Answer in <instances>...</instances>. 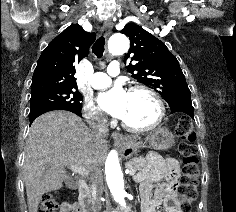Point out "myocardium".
<instances>
[{
	"label": "myocardium",
	"instance_id": "f54148a6",
	"mask_svg": "<svg viewBox=\"0 0 236 212\" xmlns=\"http://www.w3.org/2000/svg\"><path fill=\"white\" fill-rule=\"evenodd\" d=\"M137 91L146 93L155 101L158 109L157 116L152 123L144 127H133L126 123L124 120H121V125L125 130L131 133H146L159 126L165 116L166 108L160 95L152 88L143 84H135L129 88V93Z\"/></svg>",
	"mask_w": 236,
	"mask_h": 212
}]
</instances>
